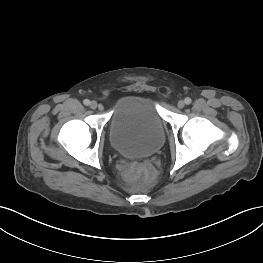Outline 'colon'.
<instances>
[{
	"mask_svg": "<svg viewBox=\"0 0 263 263\" xmlns=\"http://www.w3.org/2000/svg\"><path fill=\"white\" fill-rule=\"evenodd\" d=\"M131 174L133 175H141L145 180H153L156 176V170L152 165L145 161H139L135 163L131 170Z\"/></svg>",
	"mask_w": 263,
	"mask_h": 263,
	"instance_id": "5ec220e1",
	"label": "colon"
}]
</instances>
